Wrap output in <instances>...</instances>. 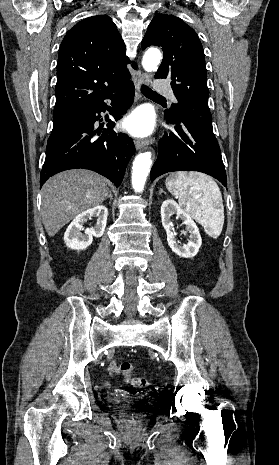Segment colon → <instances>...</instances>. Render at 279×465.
<instances>
[{"label":"colon","mask_w":279,"mask_h":465,"mask_svg":"<svg viewBox=\"0 0 279 465\" xmlns=\"http://www.w3.org/2000/svg\"><path fill=\"white\" fill-rule=\"evenodd\" d=\"M121 372L125 379L135 387H145L149 384L148 380L141 377H134L133 376V366L130 362L124 361L120 365ZM130 426L132 428L136 427V422L134 420L130 421Z\"/></svg>","instance_id":"obj_1"}]
</instances>
